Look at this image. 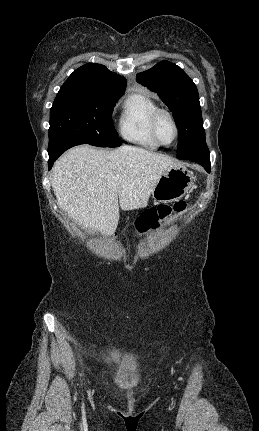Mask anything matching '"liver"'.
<instances>
[{
  "instance_id": "liver-1",
  "label": "liver",
  "mask_w": 259,
  "mask_h": 431,
  "mask_svg": "<svg viewBox=\"0 0 259 431\" xmlns=\"http://www.w3.org/2000/svg\"><path fill=\"white\" fill-rule=\"evenodd\" d=\"M179 166L174 159L142 147L104 150L82 145L54 164L51 185L59 207L89 232L111 235L122 210L147 206L164 172Z\"/></svg>"
}]
</instances>
